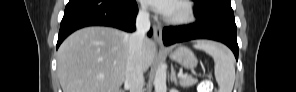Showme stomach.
Returning a JSON list of instances; mask_svg holds the SVG:
<instances>
[{
    "label": "stomach",
    "instance_id": "0dacf381",
    "mask_svg": "<svg viewBox=\"0 0 296 92\" xmlns=\"http://www.w3.org/2000/svg\"><path fill=\"white\" fill-rule=\"evenodd\" d=\"M169 57L186 69H194L198 63L194 53L185 46H179L171 51Z\"/></svg>",
    "mask_w": 296,
    "mask_h": 92
}]
</instances>
